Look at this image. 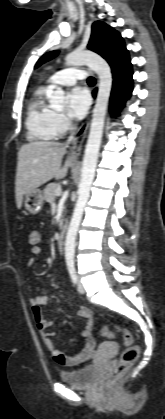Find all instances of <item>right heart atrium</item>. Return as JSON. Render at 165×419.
<instances>
[{
  "instance_id": "obj_1",
  "label": "right heart atrium",
  "mask_w": 165,
  "mask_h": 419,
  "mask_svg": "<svg viewBox=\"0 0 165 419\" xmlns=\"http://www.w3.org/2000/svg\"><path fill=\"white\" fill-rule=\"evenodd\" d=\"M54 124L58 135H62L71 128V122L65 114L60 112L54 113Z\"/></svg>"
}]
</instances>
